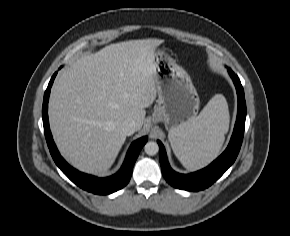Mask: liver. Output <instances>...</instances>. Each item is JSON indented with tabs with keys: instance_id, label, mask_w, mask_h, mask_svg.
Segmentation results:
<instances>
[{
	"instance_id": "obj_1",
	"label": "liver",
	"mask_w": 290,
	"mask_h": 236,
	"mask_svg": "<svg viewBox=\"0 0 290 236\" xmlns=\"http://www.w3.org/2000/svg\"><path fill=\"white\" fill-rule=\"evenodd\" d=\"M164 40L110 44L84 55L56 80L49 101L50 128L62 156L78 170L103 175L126 135L121 125L142 128L145 108L157 96L155 51Z\"/></svg>"
}]
</instances>
